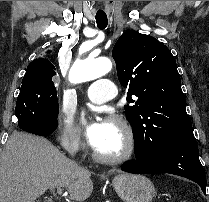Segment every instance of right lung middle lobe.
<instances>
[{"label":"right lung middle lobe","mask_w":209,"mask_h":202,"mask_svg":"<svg viewBox=\"0 0 209 202\" xmlns=\"http://www.w3.org/2000/svg\"><path fill=\"white\" fill-rule=\"evenodd\" d=\"M53 76L34 74L23 77L15 108L17 118L27 114L43 118L58 117V98Z\"/></svg>","instance_id":"right-lung-middle-lobe-1"}]
</instances>
